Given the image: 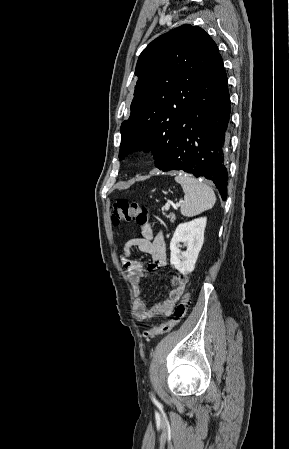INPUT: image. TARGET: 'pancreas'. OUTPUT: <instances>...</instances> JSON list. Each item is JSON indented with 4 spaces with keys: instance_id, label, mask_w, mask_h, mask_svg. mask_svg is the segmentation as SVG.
Masks as SVG:
<instances>
[{
    "instance_id": "1",
    "label": "pancreas",
    "mask_w": 289,
    "mask_h": 449,
    "mask_svg": "<svg viewBox=\"0 0 289 449\" xmlns=\"http://www.w3.org/2000/svg\"><path fill=\"white\" fill-rule=\"evenodd\" d=\"M168 218H169V220L172 222V223H174V221H175V215L173 214V213H170L168 216H167Z\"/></svg>"
}]
</instances>
